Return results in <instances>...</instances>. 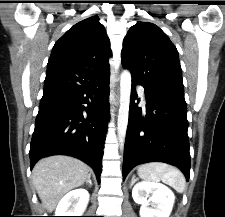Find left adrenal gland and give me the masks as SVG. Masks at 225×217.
I'll use <instances>...</instances> for the list:
<instances>
[{
	"mask_svg": "<svg viewBox=\"0 0 225 217\" xmlns=\"http://www.w3.org/2000/svg\"><path fill=\"white\" fill-rule=\"evenodd\" d=\"M136 180H137V179H136V175L134 174V175L132 176L130 186H132V185L135 183Z\"/></svg>",
	"mask_w": 225,
	"mask_h": 217,
	"instance_id": "1",
	"label": "left adrenal gland"
}]
</instances>
